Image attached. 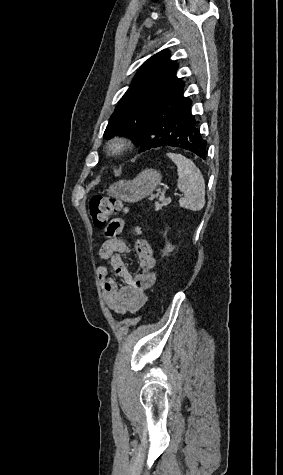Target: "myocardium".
Here are the masks:
<instances>
[{
	"label": "myocardium",
	"mask_w": 283,
	"mask_h": 475,
	"mask_svg": "<svg viewBox=\"0 0 283 475\" xmlns=\"http://www.w3.org/2000/svg\"><path fill=\"white\" fill-rule=\"evenodd\" d=\"M129 148L130 142L128 138L123 135L111 137L105 146L107 154L112 157H118L125 154Z\"/></svg>",
	"instance_id": "f54148a6"
}]
</instances>
